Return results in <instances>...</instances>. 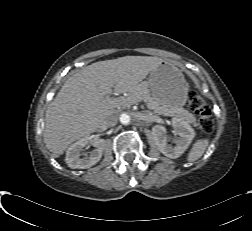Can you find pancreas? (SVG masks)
Listing matches in <instances>:
<instances>
[{"instance_id": "1", "label": "pancreas", "mask_w": 252, "mask_h": 231, "mask_svg": "<svg viewBox=\"0 0 252 231\" xmlns=\"http://www.w3.org/2000/svg\"><path fill=\"white\" fill-rule=\"evenodd\" d=\"M124 99L125 101L122 102L123 106H128L130 103L138 100H144L148 108L152 109L155 113L179 118L193 124L194 126H197L196 118L189 111L185 110L184 108H162L158 103L155 102L153 97L150 96L148 89L143 86H140L136 91H134Z\"/></svg>"}]
</instances>
